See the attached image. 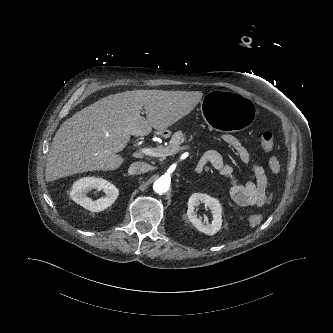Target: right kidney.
Returning <instances> with one entry per match:
<instances>
[{"label":"right kidney","mask_w":333,"mask_h":333,"mask_svg":"<svg viewBox=\"0 0 333 333\" xmlns=\"http://www.w3.org/2000/svg\"><path fill=\"white\" fill-rule=\"evenodd\" d=\"M92 189L104 190L106 196L93 201L86 196V193ZM118 194L119 190L116 186L107 180L96 177H85L73 184L70 196L73 201L83 208L92 212H100L111 206L117 199Z\"/></svg>","instance_id":"right-kidney-1"}]
</instances>
